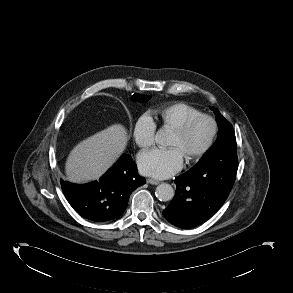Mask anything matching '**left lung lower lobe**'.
Wrapping results in <instances>:
<instances>
[{
  "label": "left lung lower lobe",
  "instance_id": "0a47b994",
  "mask_svg": "<svg viewBox=\"0 0 293 293\" xmlns=\"http://www.w3.org/2000/svg\"><path fill=\"white\" fill-rule=\"evenodd\" d=\"M238 161L215 167H192L175 179L176 193L164 217L188 229L215 214L227 199L237 173Z\"/></svg>",
  "mask_w": 293,
  "mask_h": 293
}]
</instances>
